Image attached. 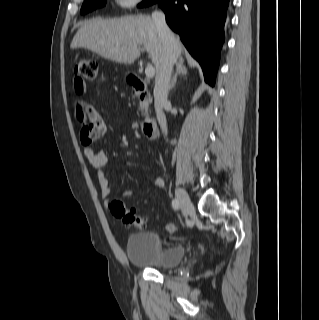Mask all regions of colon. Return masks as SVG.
Listing matches in <instances>:
<instances>
[{"label":"colon","mask_w":319,"mask_h":320,"mask_svg":"<svg viewBox=\"0 0 319 320\" xmlns=\"http://www.w3.org/2000/svg\"><path fill=\"white\" fill-rule=\"evenodd\" d=\"M97 74L98 65L94 60H81L75 67V81L79 85H84L86 82L96 80ZM77 120L80 123L81 142L85 145H88L95 140V136L91 130L90 124L86 122L85 117L80 113L77 114ZM109 208L112 214L120 218L123 224L127 227L146 228L148 226V222L145 217H142L134 210L127 208L124 202L121 200H115L111 202ZM165 229L171 233L177 231V227L172 223H168L165 226Z\"/></svg>","instance_id":"obj_1"}]
</instances>
